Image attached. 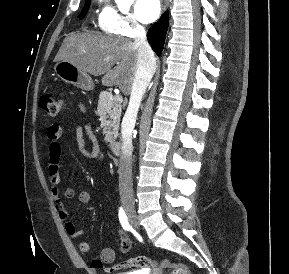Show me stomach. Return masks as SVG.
I'll return each instance as SVG.
<instances>
[{"label":"stomach","instance_id":"0dacf381","mask_svg":"<svg viewBox=\"0 0 289 274\" xmlns=\"http://www.w3.org/2000/svg\"><path fill=\"white\" fill-rule=\"evenodd\" d=\"M54 72L57 77L64 82L72 84L80 89L90 91L94 88L91 77L69 61H58L54 66Z\"/></svg>","mask_w":289,"mask_h":274}]
</instances>
